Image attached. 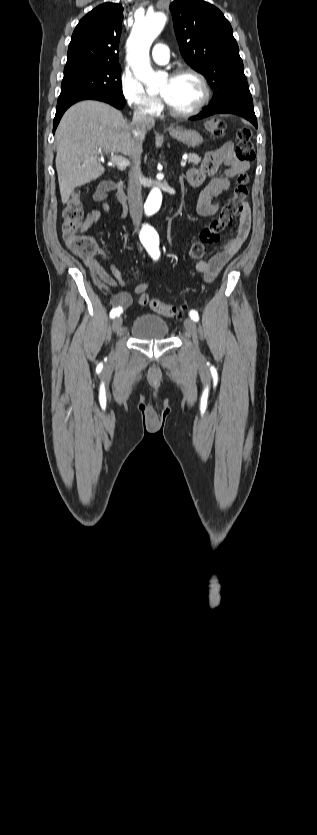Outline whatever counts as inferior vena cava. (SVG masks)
Instances as JSON below:
<instances>
[{"label":"inferior vena cava","mask_w":317,"mask_h":835,"mask_svg":"<svg viewBox=\"0 0 317 835\" xmlns=\"http://www.w3.org/2000/svg\"><path fill=\"white\" fill-rule=\"evenodd\" d=\"M133 136L136 141L142 142L145 138L147 130L155 125L154 117L145 113L140 108L136 107L132 119ZM142 148L135 150L132 155L133 167L129 175V184L127 189L130 216L137 231L141 225L143 203L141 196L142 189V173L140 170Z\"/></svg>","instance_id":"obj_1"}]
</instances>
